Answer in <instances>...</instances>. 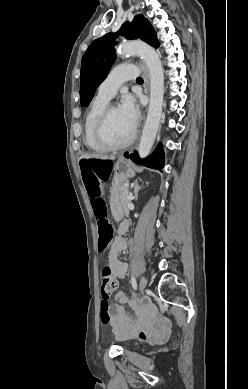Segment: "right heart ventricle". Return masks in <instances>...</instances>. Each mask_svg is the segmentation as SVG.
Instances as JSON below:
<instances>
[{
	"mask_svg": "<svg viewBox=\"0 0 248 389\" xmlns=\"http://www.w3.org/2000/svg\"><path fill=\"white\" fill-rule=\"evenodd\" d=\"M109 103V100L106 98L97 95L91 102L89 109L85 116L84 121V143L85 145L94 151L103 152L106 151L102 146H100L94 137V130L98 118L104 109V107Z\"/></svg>",
	"mask_w": 248,
	"mask_h": 389,
	"instance_id": "right-heart-ventricle-1",
	"label": "right heart ventricle"
}]
</instances>
